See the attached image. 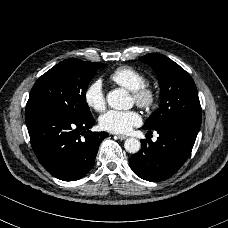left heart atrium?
Returning a JSON list of instances; mask_svg holds the SVG:
<instances>
[{"instance_id":"left-heart-atrium-1","label":"left heart atrium","mask_w":228,"mask_h":228,"mask_svg":"<svg viewBox=\"0 0 228 228\" xmlns=\"http://www.w3.org/2000/svg\"><path fill=\"white\" fill-rule=\"evenodd\" d=\"M99 123L102 129L115 133L123 134L131 130L132 127L141 123L140 115L133 110H109L99 119Z\"/></svg>"}]
</instances>
